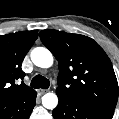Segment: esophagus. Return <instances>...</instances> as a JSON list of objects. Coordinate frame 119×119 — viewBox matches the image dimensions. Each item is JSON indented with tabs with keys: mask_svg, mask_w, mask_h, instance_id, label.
Returning <instances> with one entry per match:
<instances>
[{
	"mask_svg": "<svg viewBox=\"0 0 119 119\" xmlns=\"http://www.w3.org/2000/svg\"><path fill=\"white\" fill-rule=\"evenodd\" d=\"M37 92H38L39 95H43V94L46 93V90H44V89H38Z\"/></svg>",
	"mask_w": 119,
	"mask_h": 119,
	"instance_id": "34e87169",
	"label": "esophagus"
}]
</instances>
